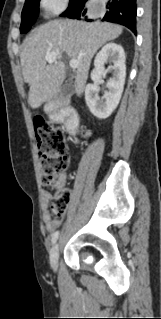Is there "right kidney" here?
I'll return each instance as SVG.
<instances>
[{
  "mask_svg": "<svg viewBox=\"0 0 161 319\" xmlns=\"http://www.w3.org/2000/svg\"><path fill=\"white\" fill-rule=\"evenodd\" d=\"M112 62L108 70L113 69V77L107 82L108 91L99 97V83L102 75L107 72L105 64ZM126 77L125 53L123 48L116 43H108L102 47L94 60V70L91 79L94 84L85 88V101L91 113L99 119L108 118L116 109L122 96Z\"/></svg>",
  "mask_w": 161,
  "mask_h": 319,
  "instance_id": "obj_1",
  "label": "right kidney"
}]
</instances>
